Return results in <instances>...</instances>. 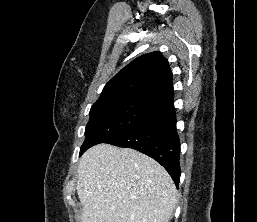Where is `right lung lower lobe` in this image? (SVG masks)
<instances>
[{"mask_svg": "<svg viewBox=\"0 0 257 222\" xmlns=\"http://www.w3.org/2000/svg\"><path fill=\"white\" fill-rule=\"evenodd\" d=\"M173 103L105 143L140 151L160 163L178 187L180 180V142Z\"/></svg>", "mask_w": 257, "mask_h": 222, "instance_id": "obj_1", "label": "right lung lower lobe"}]
</instances>
